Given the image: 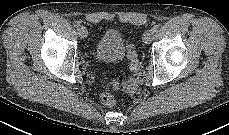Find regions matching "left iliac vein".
<instances>
[{
  "mask_svg": "<svg viewBox=\"0 0 229 135\" xmlns=\"http://www.w3.org/2000/svg\"><path fill=\"white\" fill-rule=\"evenodd\" d=\"M153 37H154V32L152 31V29H148L144 32L143 34V41L146 43V44H149L152 42L153 40Z\"/></svg>",
  "mask_w": 229,
  "mask_h": 135,
  "instance_id": "obj_1",
  "label": "left iliac vein"
}]
</instances>
